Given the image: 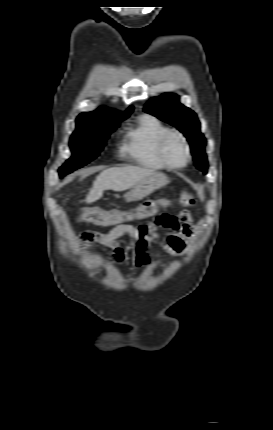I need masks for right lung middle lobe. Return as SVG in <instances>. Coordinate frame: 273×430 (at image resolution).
<instances>
[{
  "instance_id": "obj_1",
  "label": "right lung middle lobe",
  "mask_w": 273,
  "mask_h": 430,
  "mask_svg": "<svg viewBox=\"0 0 273 430\" xmlns=\"http://www.w3.org/2000/svg\"><path fill=\"white\" fill-rule=\"evenodd\" d=\"M118 126L119 123L103 124L77 120L76 131L72 134L70 140L73 155L59 168L60 177L73 172L95 159L100 151L103 150L109 135Z\"/></svg>"
}]
</instances>
